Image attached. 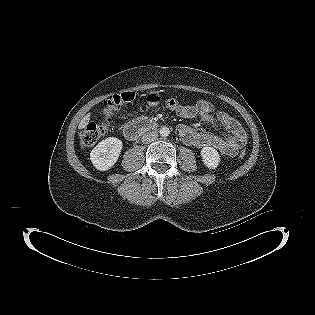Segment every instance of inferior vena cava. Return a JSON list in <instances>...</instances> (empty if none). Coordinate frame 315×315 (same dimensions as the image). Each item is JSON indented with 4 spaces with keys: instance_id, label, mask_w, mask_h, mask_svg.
<instances>
[{
    "instance_id": "inferior-vena-cava-1",
    "label": "inferior vena cava",
    "mask_w": 315,
    "mask_h": 315,
    "mask_svg": "<svg viewBox=\"0 0 315 315\" xmlns=\"http://www.w3.org/2000/svg\"><path fill=\"white\" fill-rule=\"evenodd\" d=\"M157 137H158V134L156 132H147L142 136V142L151 143L154 140H156Z\"/></svg>"
}]
</instances>
